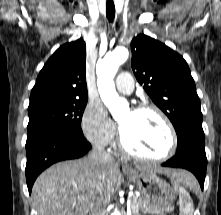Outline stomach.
Listing matches in <instances>:
<instances>
[{
	"label": "stomach",
	"instance_id": "obj_1",
	"mask_svg": "<svg viewBox=\"0 0 221 215\" xmlns=\"http://www.w3.org/2000/svg\"><path fill=\"white\" fill-rule=\"evenodd\" d=\"M127 176L133 180L143 196L154 206L164 210L170 209L176 200V193L168 183L154 172L126 170Z\"/></svg>",
	"mask_w": 221,
	"mask_h": 215
}]
</instances>
